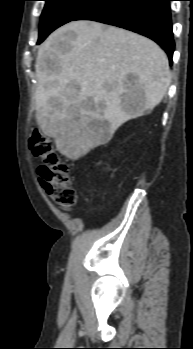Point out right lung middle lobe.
Wrapping results in <instances>:
<instances>
[{"label": "right lung middle lobe", "mask_w": 193, "mask_h": 349, "mask_svg": "<svg viewBox=\"0 0 193 349\" xmlns=\"http://www.w3.org/2000/svg\"><path fill=\"white\" fill-rule=\"evenodd\" d=\"M41 15L39 39L40 44L53 30L72 21L76 16L97 0H44Z\"/></svg>", "instance_id": "1"}]
</instances>
